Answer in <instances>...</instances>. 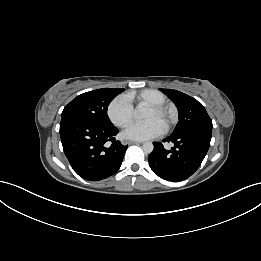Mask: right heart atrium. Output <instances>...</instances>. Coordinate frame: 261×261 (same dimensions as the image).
<instances>
[{
  "label": "right heart atrium",
  "instance_id": "right-heart-atrium-1",
  "mask_svg": "<svg viewBox=\"0 0 261 261\" xmlns=\"http://www.w3.org/2000/svg\"><path fill=\"white\" fill-rule=\"evenodd\" d=\"M133 106L127 96L115 97L107 107V115L110 121L117 127H126L133 119Z\"/></svg>",
  "mask_w": 261,
  "mask_h": 261
}]
</instances>
